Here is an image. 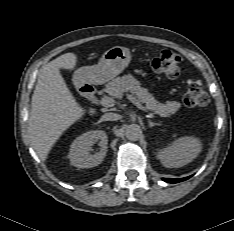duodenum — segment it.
<instances>
[{
  "instance_id": "duodenum-1",
  "label": "duodenum",
  "mask_w": 234,
  "mask_h": 231,
  "mask_svg": "<svg viewBox=\"0 0 234 231\" xmlns=\"http://www.w3.org/2000/svg\"><path fill=\"white\" fill-rule=\"evenodd\" d=\"M77 87L78 90L84 95V97L90 101H94L96 98V92H95V88L93 85H91L90 83L87 82H83V81H78L77 82ZM95 108L92 107L90 112L92 114L95 113Z\"/></svg>"
}]
</instances>
